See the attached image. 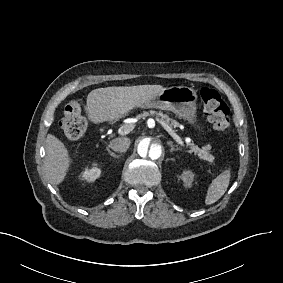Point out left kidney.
<instances>
[{
	"label": "left kidney",
	"instance_id": "left-kidney-1",
	"mask_svg": "<svg viewBox=\"0 0 283 283\" xmlns=\"http://www.w3.org/2000/svg\"><path fill=\"white\" fill-rule=\"evenodd\" d=\"M180 178L184 182V187H186V188L192 187V183H193V180H194V173L192 171H190V170L183 171Z\"/></svg>",
	"mask_w": 283,
	"mask_h": 283
}]
</instances>
